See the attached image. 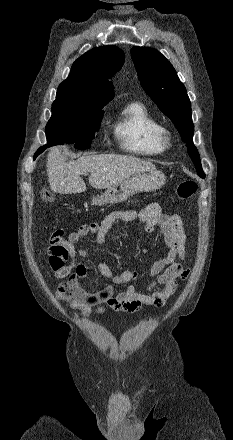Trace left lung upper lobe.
Returning <instances> with one entry per match:
<instances>
[{"label": "left lung upper lobe", "mask_w": 233, "mask_h": 440, "mask_svg": "<svg viewBox=\"0 0 233 440\" xmlns=\"http://www.w3.org/2000/svg\"><path fill=\"white\" fill-rule=\"evenodd\" d=\"M131 57L143 89L172 120L186 143L197 172H202L200 157L192 140L194 125L191 103L175 69L156 49L133 47Z\"/></svg>", "instance_id": "1"}]
</instances>
